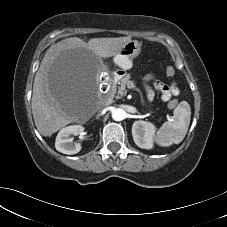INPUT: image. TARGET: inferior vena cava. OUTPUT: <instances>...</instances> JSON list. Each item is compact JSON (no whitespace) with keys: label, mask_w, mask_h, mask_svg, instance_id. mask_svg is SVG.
Instances as JSON below:
<instances>
[{"label":"inferior vena cava","mask_w":227,"mask_h":227,"mask_svg":"<svg viewBox=\"0 0 227 227\" xmlns=\"http://www.w3.org/2000/svg\"><path fill=\"white\" fill-rule=\"evenodd\" d=\"M106 107V104H102L99 106V114L103 111V109Z\"/></svg>","instance_id":"inferior-vena-cava-1"}]
</instances>
